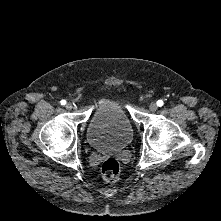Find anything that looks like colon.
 Instances as JSON below:
<instances>
[{
	"instance_id": "5ec220e1",
	"label": "colon",
	"mask_w": 221,
	"mask_h": 221,
	"mask_svg": "<svg viewBox=\"0 0 221 221\" xmlns=\"http://www.w3.org/2000/svg\"><path fill=\"white\" fill-rule=\"evenodd\" d=\"M101 175L108 182H116L120 175V164L114 157L106 158L101 165Z\"/></svg>"
}]
</instances>
